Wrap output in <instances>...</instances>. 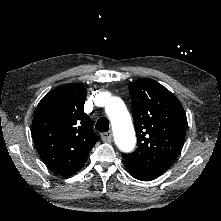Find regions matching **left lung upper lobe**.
Wrapping results in <instances>:
<instances>
[{
  "label": "left lung upper lobe",
  "mask_w": 221,
  "mask_h": 221,
  "mask_svg": "<svg viewBox=\"0 0 221 221\" xmlns=\"http://www.w3.org/2000/svg\"><path fill=\"white\" fill-rule=\"evenodd\" d=\"M138 148L122 154L124 163L150 179L163 174L180 153L187 118L180 101L158 82L129 84Z\"/></svg>",
  "instance_id": "obj_1"
}]
</instances>
